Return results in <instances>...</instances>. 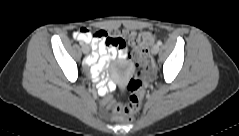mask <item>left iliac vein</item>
<instances>
[{
	"label": "left iliac vein",
	"instance_id": "4c4485c4",
	"mask_svg": "<svg viewBox=\"0 0 239 136\" xmlns=\"http://www.w3.org/2000/svg\"><path fill=\"white\" fill-rule=\"evenodd\" d=\"M159 52V45L155 44L151 48V53L152 54H157Z\"/></svg>",
	"mask_w": 239,
	"mask_h": 136
}]
</instances>
